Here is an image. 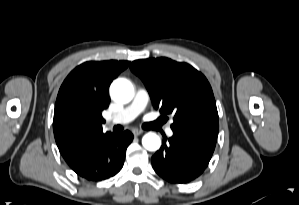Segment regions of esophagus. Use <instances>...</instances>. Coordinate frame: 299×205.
Returning a JSON list of instances; mask_svg holds the SVG:
<instances>
[{"label": "esophagus", "instance_id": "34e87169", "mask_svg": "<svg viewBox=\"0 0 299 205\" xmlns=\"http://www.w3.org/2000/svg\"><path fill=\"white\" fill-rule=\"evenodd\" d=\"M132 133H133L134 136H139V135H141L143 133V131L142 130H138V129H133Z\"/></svg>", "mask_w": 299, "mask_h": 205}]
</instances>
